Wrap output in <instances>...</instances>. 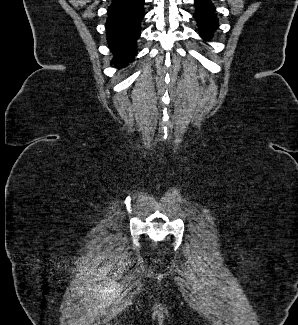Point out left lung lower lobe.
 Listing matches in <instances>:
<instances>
[{
    "instance_id": "0a47b994",
    "label": "left lung lower lobe",
    "mask_w": 298,
    "mask_h": 325,
    "mask_svg": "<svg viewBox=\"0 0 298 325\" xmlns=\"http://www.w3.org/2000/svg\"><path fill=\"white\" fill-rule=\"evenodd\" d=\"M195 8L194 18L198 23L200 36L209 40L218 27L214 5L210 0H195Z\"/></svg>"
}]
</instances>
